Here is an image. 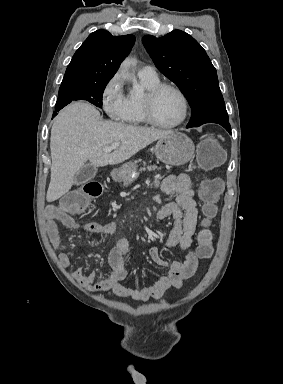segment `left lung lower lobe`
<instances>
[{
  "label": "left lung lower lobe",
  "mask_w": 283,
  "mask_h": 384,
  "mask_svg": "<svg viewBox=\"0 0 283 384\" xmlns=\"http://www.w3.org/2000/svg\"><path fill=\"white\" fill-rule=\"evenodd\" d=\"M215 123H218L221 126H223L229 132V134H231V127L228 122H215Z\"/></svg>",
  "instance_id": "left-lung-lower-lobe-1"
}]
</instances>
